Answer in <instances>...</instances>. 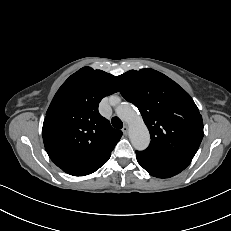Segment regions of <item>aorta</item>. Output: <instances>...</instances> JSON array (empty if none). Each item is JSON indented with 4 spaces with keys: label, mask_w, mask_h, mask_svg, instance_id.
<instances>
[{
    "label": "aorta",
    "mask_w": 231,
    "mask_h": 231,
    "mask_svg": "<svg viewBox=\"0 0 231 231\" xmlns=\"http://www.w3.org/2000/svg\"><path fill=\"white\" fill-rule=\"evenodd\" d=\"M116 114L129 125V137L136 150H145L150 143V134L135 107L128 103H121L116 107Z\"/></svg>",
    "instance_id": "aorta-1"
}]
</instances>
